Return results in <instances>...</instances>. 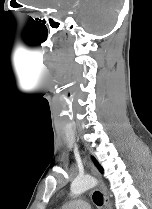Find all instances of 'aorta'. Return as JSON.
I'll return each instance as SVG.
<instances>
[{"label": "aorta", "mask_w": 152, "mask_h": 209, "mask_svg": "<svg viewBox=\"0 0 152 209\" xmlns=\"http://www.w3.org/2000/svg\"><path fill=\"white\" fill-rule=\"evenodd\" d=\"M97 183V180L91 176L77 177L71 183V194L75 196L80 195L85 191L95 187Z\"/></svg>", "instance_id": "762f6f07"}]
</instances>
